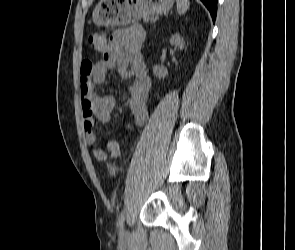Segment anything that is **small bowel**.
Listing matches in <instances>:
<instances>
[{
	"instance_id": "1",
	"label": "small bowel",
	"mask_w": 295,
	"mask_h": 250,
	"mask_svg": "<svg viewBox=\"0 0 295 250\" xmlns=\"http://www.w3.org/2000/svg\"><path fill=\"white\" fill-rule=\"evenodd\" d=\"M145 39L144 29L131 26L114 32L106 45L98 50L103 57L98 62L84 60L81 64L80 94L83 114V127L86 132V142L89 145L97 143L94 133L95 120L102 124L110 121L116 107L113 96H100L95 93V86L101 83L110 71H117L122 77L133 80L129 89V108L134 116L135 124H145L148 112L147 101L151 90V79L142 58L141 48ZM107 149L112 156H118L119 146L115 140L107 143ZM97 159L105 157L101 149H95Z\"/></svg>"
}]
</instances>
